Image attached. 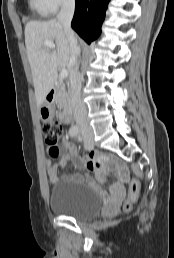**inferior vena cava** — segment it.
I'll list each match as a JSON object with an SVG mask.
<instances>
[{
  "label": "inferior vena cava",
  "instance_id": "1",
  "mask_svg": "<svg viewBox=\"0 0 174 258\" xmlns=\"http://www.w3.org/2000/svg\"><path fill=\"white\" fill-rule=\"evenodd\" d=\"M75 10V0H64L61 10L57 15L58 23L63 27L69 42L71 57L70 69V104L75 116L76 123L82 133L92 132L87 120L86 106L81 98L82 78L79 72L77 59L80 55V47L77 38L71 28V21Z\"/></svg>",
  "mask_w": 174,
  "mask_h": 258
}]
</instances>
